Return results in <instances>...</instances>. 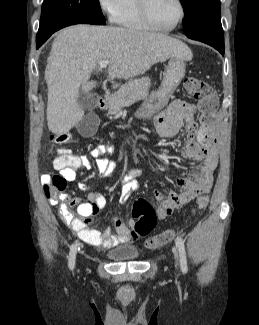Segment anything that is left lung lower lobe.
Returning a JSON list of instances; mask_svg holds the SVG:
<instances>
[{"label": "left lung lower lobe", "mask_w": 259, "mask_h": 325, "mask_svg": "<svg viewBox=\"0 0 259 325\" xmlns=\"http://www.w3.org/2000/svg\"><path fill=\"white\" fill-rule=\"evenodd\" d=\"M189 38L209 44L221 54H224V34L221 25L208 27Z\"/></svg>", "instance_id": "left-lung-lower-lobe-1"}]
</instances>
